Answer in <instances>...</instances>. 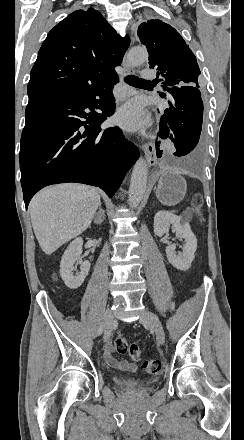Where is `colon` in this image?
Segmentation results:
<instances>
[{
  "label": "colon",
  "instance_id": "5ec220e1",
  "mask_svg": "<svg viewBox=\"0 0 244 440\" xmlns=\"http://www.w3.org/2000/svg\"><path fill=\"white\" fill-rule=\"evenodd\" d=\"M198 203V201H197ZM114 351L117 354L128 353L129 357L138 361L141 358L142 352L137 344H128L123 335H119L114 341ZM143 368L149 375H156L160 373L162 365L158 359H147L143 362Z\"/></svg>",
  "mask_w": 244,
  "mask_h": 440
}]
</instances>
